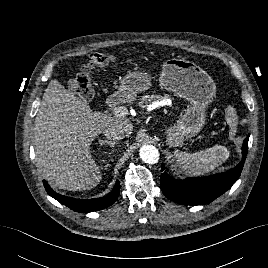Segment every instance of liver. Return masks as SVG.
I'll list each match as a JSON object with an SVG mask.
<instances>
[{"label": "liver", "mask_w": 268, "mask_h": 268, "mask_svg": "<svg viewBox=\"0 0 268 268\" xmlns=\"http://www.w3.org/2000/svg\"><path fill=\"white\" fill-rule=\"evenodd\" d=\"M121 125L130 135L128 118L93 112L79 97L51 80L35 118L37 166L54 185L67 190L94 188L102 179L91 155V142L108 126Z\"/></svg>", "instance_id": "6515ba94"}]
</instances>
